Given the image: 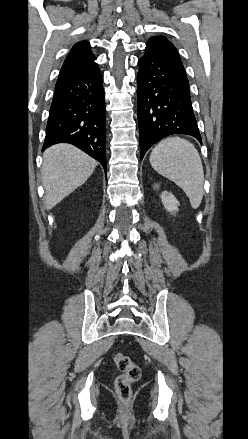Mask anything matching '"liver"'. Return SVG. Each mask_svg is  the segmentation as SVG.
I'll return each mask as SVG.
<instances>
[{
    "mask_svg": "<svg viewBox=\"0 0 248 439\" xmlns=\"http://www.w3.org/2000/svg\"><path fill=\"white\" fill-rule=\"evenodd\" d=\"M97 162L70 144H57L43 154L42 184L45 206L52 209L93 173Z\"/></svg>",
    "mask_w": 248,
    "mask_h": 439,
    "instance_id": "liver-1",
    "label": "liver"
}]
</instances>
